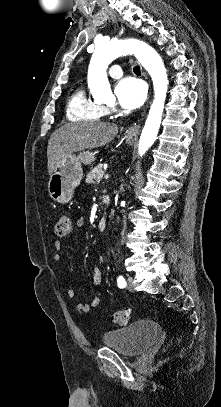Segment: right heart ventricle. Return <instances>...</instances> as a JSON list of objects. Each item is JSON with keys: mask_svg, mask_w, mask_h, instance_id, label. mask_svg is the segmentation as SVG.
I'll return each instance as SVG.
<instances>
[{"mask_svg": "<svg viewBox=\"0 0 221 407\" xmlns=\"http://www.w3.org/2000/svg\"><path fill=\"white\" fill-rule=\"evenodd\" d=\"M107 114V108L87 96L82 86L76 87L68 97L66 116L70 121H97Z\"/></svg>", "mask_w": 221, "mask_h": 407, "instance_id": "1", "label": "right heart ventricle"}]
</instances>
